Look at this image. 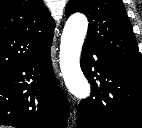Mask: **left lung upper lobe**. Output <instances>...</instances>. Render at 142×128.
<instances>
[{
  "mask_svg": "<svg viewBox=\"0 0 142 128\" xmlns=\"http://www.w3.org/2000/svg\"><path fill=\"white\" fill-rule=\"evenodd\" d=\"M75 12H83L89 20L85 43L107 52L118 63L142 68V56L121 0H70L65 13Z\"/></svg>",
  "mask_w": 142,
  "mask_h": 128,
  "instance_id": "obj_1",
  "label": "left lung upper lobe"
}]
</instances>
